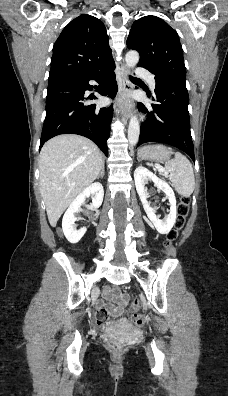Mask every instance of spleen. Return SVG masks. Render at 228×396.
Masks as SVG:
<instances>
[{
    "mask_svg": "<svg viewBox=\"0 0 228 396\" xmlns=\"http://www.w3.org/2000/svg\"><path fill=\"white\" fill-rule=\"evenodd\" d=\"M166 173L175 190L183 197H189L195 188V177L190 161L181 153L176 152L175 158L165 164ZM165 173V174H166Z\"/></svg>",
    "mask_w": 228,
    "mask_h": 396,
    "instance_id": "spleen-1",
    "label": "spleen"
}]
</instances>
